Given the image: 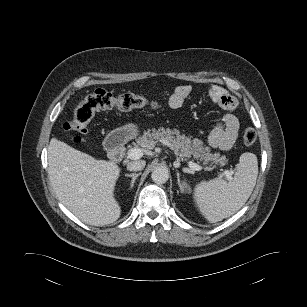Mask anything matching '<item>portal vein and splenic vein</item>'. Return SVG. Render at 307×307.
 <instances>
[{"instance_id":"obj_1","label":"portal vein and splenic vein","mask_w":307,"mask_h":307,"mask_svg":"<svg viewBox=\"0 0 307 307\" xmlns=\"http://www.w3.org/2000/svg\"><path fill=\"white\" fill-rule=\"evenodd\" d=\"M142 156H143V152L139 148L130 149L129 152H128V158L131 159V160L140 159ZM188 166L194 171H200V170L203 169L202 166H200V165H198V164H196L192 161L188 162ZM224 175L227 176L228 178H231L232 173L228 170H225Z\"/></svg>"}]
</instances>
